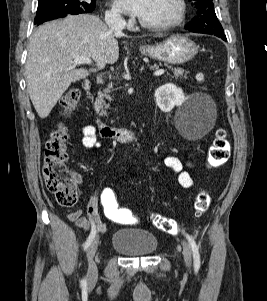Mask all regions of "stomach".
<instances>
[{"label":"stomach","instance_id":"0dacf381","mask_svg":"<svg viewBox=\"0 0 267 301\" xmlns=\"http://www.w3.org/2000/svg\"><path fill=\"white\" fill-rule=\"evenodd\" d=\"M143 55L165 63L182 64L193 59L198 53V46L187 37L172 36L156 45L140 47Z\"/></svg>","mask_w":267,"mask_h":301}]
</instances>
